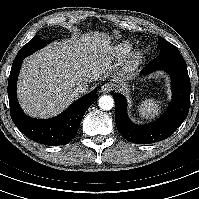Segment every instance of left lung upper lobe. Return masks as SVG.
I'll use <instances>...</instances> for the list:
<instances>
[{
	"instance_id": "1",
	"label": "left lung upper lobe",
	"mask_w": 199,
	"mask_h": 199,
	"mask_svg": "<svg viewBox=\"0 0 199 199\" xmlns=\"http://www.w3.org/2000/svg\"><path fill=\"white\" fill-rule=\"evenodd\" d=\"M158 48L160 50V54L167 52H179L174 45L164 40L161 36L158 37Z\"/></svg>"
}]
</instances>
